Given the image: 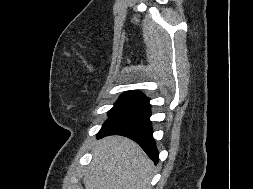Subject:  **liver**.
<instances>
[{
  "mask_svg": "<svg viewBox=\"0 0 253 189\" xmlns=\"http://www.w3.org/2000/svg\"><path fill=\"white\" fill-rule=\"evenodd\" d=\"M83 182L86 189H150L153 162L129 138L109 136L98 141Z\"/></svg>",
  "mask_w": 253,
  "mask_h": 189,
  "instance_id": "6515ba94",
  "label": "liver"
}]
</instances>
